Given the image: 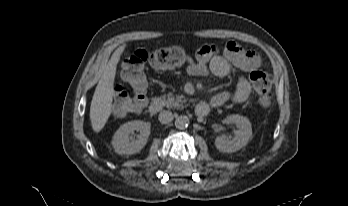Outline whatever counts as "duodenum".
<instances>
[{
	"mask_svg": "<svg viewBox=\"0 0 348 206\" xmlns=\"http://www.w3.org/2000/svg\"><path fill=\"white\" fill-rule=\"evenodd\" d=\"M163 108H164V102L160 99H157L149 105L148 112L151 115H154V114H157L158 112H160ZM210 110H211V105L207 104V103H200L196 107V113L199 116L208 115Z\"/></svg>",
	"mask_w": 348,
	"mask_h": 206,
	"instance_id": "1",
	"label": "duodenum"
}]
</instances>
